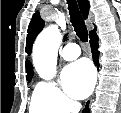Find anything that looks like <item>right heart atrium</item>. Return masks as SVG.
<instances>
[{
	"label": "right heart atrium",
	"instance_id": "1",
	"mask_svg": "<svg viewBox=\"0 0 121 113\" xmlns=\"http://www.w3.org/2000/svg\"><path fill=\"white\" fill-rule=\"evenodd\" d=\"M40 99L49 107L51 113H67L74 109V103L52 82L42 81L38 84Z\"/></svg>",
	"mask_w": 121,
	"mask_h": 113
}]
</instances>
